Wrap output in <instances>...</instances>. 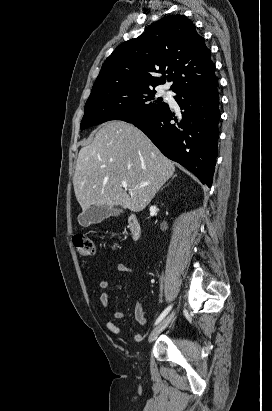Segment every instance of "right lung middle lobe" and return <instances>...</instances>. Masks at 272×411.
Here are the masks:
<instances>
[{
  "instance_id": "1",
  "label": "right lung middle lobe",
  "mask_w": 272,
  "mask_h": 411,
  "mask_svg": "<svg viewBox=\"0 0 272 411\" xmlns=\"http://www.w3.org/2000/svg\"><path fill=\"white\" fill-rule=\"evenodd\" d=\"M166 105L161 97H155L152 87L119 86L94 91L85 104L80 127L85 129L110 120L133 123L153 116Z\"/></svg>"
}]
</instances>
